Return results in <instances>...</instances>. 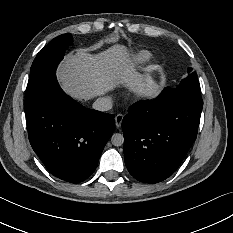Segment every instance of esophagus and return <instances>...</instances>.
I'll return each mask as SVG.
<instances>
[{
	"label": "esophagus",
	"mask_w": 233,
	"mask_h": 233,
	"mask_svg": "<svg viewBox=\"0 0 233 233\" xmlns=\"http://www.w3.org/2000/svg\"><path fill=\"white\" fill-rule=\"evenodd\" d=\"M122 120H123V115L122 114H118L115 117V124L116 126L119 128L122 124Z\"/></svg>",
	"instance_id": "obj_1"
}]
</instances>
